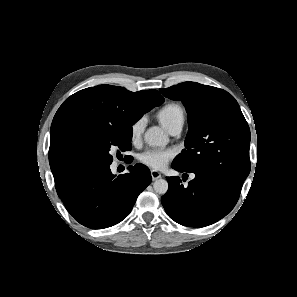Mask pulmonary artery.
I'll return each mask as SVG.
<instances>
[{"label":"pulmonary artery","mask_w":297,"mask_h":297,"mask_svg":"<svg viewBox=\"0 0 297 297\" xmlns=\"http://www.w3.org/2000/svg\"><path fill=\"white\" fill-rule=\"evenodd\" d=\"M180 130H181V128H180V127H177V128H175V129H173L170 133H171L172 135H176V134H178V133L180 132Z\"/></svg>","instance_id":"1"}]
</instances>
